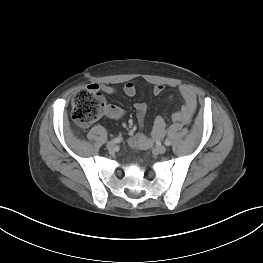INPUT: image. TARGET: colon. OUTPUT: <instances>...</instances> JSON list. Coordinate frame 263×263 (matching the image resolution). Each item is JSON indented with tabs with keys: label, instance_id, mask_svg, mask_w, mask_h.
Here are the masks:
<instances>
[{
	"label": "colon",
	"instance_id": "obj_1",
	"mask_svg": "<svg viewBox=\"0 0 263 263\" xmlns=\"http://www.w3.org/2000/svg\"><path fill=\"white\" fill-rule=\"evenodd\" d=\"M106 108L100 91L91 86L77 92L72 100L73 118L81 127H87L102 117Z\"/></svg>",
	"mask_w": 263,
	"mask_h": 263
}]
</instances>
